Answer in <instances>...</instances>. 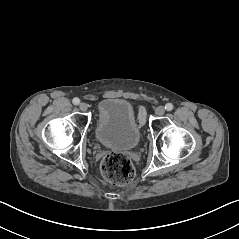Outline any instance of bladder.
Instances as JSON below:
<instances>
[{
	"instance_id": "31cf9c89",
	"label": "bladder",
	"mask_w": 239,
	"mask_h": 239,
	"mask_svg": "<svg viewBox=\"0 0 239 239\" xmlns=\"http://www.w3.org/2000/svg\"><path fill=\"white\" fill-rule=\"evenodd\" d=\"M95 138L103 146L133 150L141 141V130L132 104L122 98L103 99L98 106Z\"/></svg>"
}]
</instances>
